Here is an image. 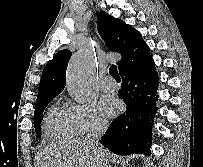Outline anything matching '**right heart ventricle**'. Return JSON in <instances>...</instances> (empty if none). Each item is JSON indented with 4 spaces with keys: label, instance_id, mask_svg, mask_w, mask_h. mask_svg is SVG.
I'll return each instance as SVG.
<instances>
[{
    "label": "right heart ventricle",
    "instance_id": "1",
    "mask_svg": "<svg viewBox=\"0 0 203 167\" xmlns=\"http://www.w3.org/2000/svg\"><path fill=\"white\" fill-rule=\"evenodd\" d=\"M44 132L52 141H67L75 136L65 108L52 106L44 119Z\"/></svg>",
    "mask_w": 203,
    "mask_h": 167
}]
</instances>
